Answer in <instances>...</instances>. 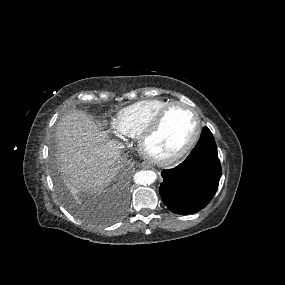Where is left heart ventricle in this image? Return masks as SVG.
<instances>
[{
  "instance_id": "obj_1",
  "label": "left heart ventricle",
  "mask_w": 285,
  "mask_h": 285,
  "mask_svg": "<svg viewBox=\"0 0 285 285\" xmlns=\"http://www.w3.org/2000/svg\"><path fill=\"white\" fill-rule=\"evenodd\" d=\"M196 127L194 115L184 107L173 108L159 130L147 141L146 150L164 158L180 150L192 137Z\"/></svg>"
}]
</instances>
